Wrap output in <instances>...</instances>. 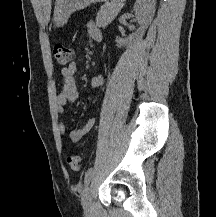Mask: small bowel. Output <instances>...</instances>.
I'll use <instances>...</instances> for the list:
<instances>
[{
    "label": "small bowel",
    "instance_id": "small-bowel-1",
    "mask_svg": "<svg viewBox=\"0 0 216 217\" xmlns=\"http://www.w3.org/2000/svg\"><path fill=\"white\" fill-rule=\"evenodd\" d=\"M88 34L94 41H101L102 40V33L100 29L92 22L88 23ZM77 66L73 62L69 64L66 68H62L60 73L63 79V86L59 94L56 96L55 99V107L59 114H64L65 107L68 103H74L79 99V91L76 86L75 82V73H76ZM105 82V78L103 75H97L92 78L91 80V87L96 89L103 85ZM95 123V119H89L84 125L73 129L69 137L73 142H78L85 138L90 130L92 129ZM58 130L61 136L66 135V128L63 123L58 124Z\"/></svg>",
    "mask_w": 216,
    "mask_h": 217
}]
</instances>
